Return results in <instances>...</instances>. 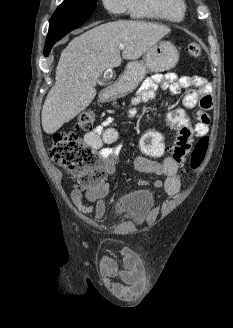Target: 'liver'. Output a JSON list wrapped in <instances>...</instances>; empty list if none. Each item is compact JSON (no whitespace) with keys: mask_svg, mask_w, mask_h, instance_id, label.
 I'll return each mask as SVG.
<instances>
[{"mask_svg":"<svg viewBox=\"0 0 233 328\" xmlns=\"http://www.w3.org/2000/svg\"><path fill=\"white\" fill-rule=\"evenodd\" d=\"M160 24L143 21H113L75 37L62 51L55 84L42 108V127L53 134L85 110L96 96V83L109 68L118 67L122 57L135 60L170 33Z\"/></svg>","mask_w":233,"mask_h":328,"instance_id":"liver-1","label":"liver"}]
</instances>
